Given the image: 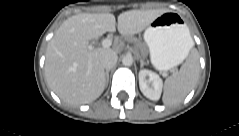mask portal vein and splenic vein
Instances as JSON below:
<instances>
[{"instance_id": "obj_1", "label": "portal vein and splenic vein", "mask_w": 239, "mask_h": 136, "mask_svg": "<svg viewBox=\"0 0 239 136\" xmlns=\"http://www.w3.org/2000/svg\"><path fill=\"white\" fill-rule=\"evenodd\" d=\"M111 45H112V40L111 39L106 38L102 41V47L103 48H109Z\"/></svg>"}]
</instances>
